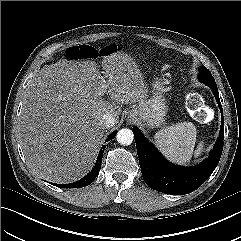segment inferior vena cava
<instances>
[{"instance_id": "602c4592", "label": "inferior vena cava", "mask_w": 241, "mask_h": 241, "mask_svg": "<svg viewBox=\"0 0 241 241\" xmlns=\"http://www.w3.org/2000/svg\"><path fill=\"white\" fill-rule=\"evenodd\" d=\"M117 120L113 114L107 112L102 116L101 124L105 128L113 127L116 124Z\"/></svg>"}]
</instances>
